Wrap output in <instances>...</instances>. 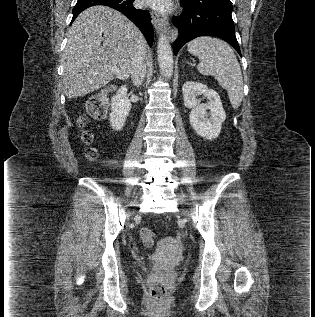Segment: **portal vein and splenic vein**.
<instances>
[{"instance_id": "portal-vein-and-splenic-vein-1", "label": "portal vein and splenic vein", "mask_w": 315, "mask_h": 317, "mask_svg": "<svg viewBox=\"0 0 315 317\" xmlns=\"http://www.w3.org/2000/svg\"><path fill=\"white\" fill-rule=\"evenodd\" d=\"M110 69H111V71L114 72V73H119V69L116 68V67H111Z\"/></svg>"}]
</instances>
